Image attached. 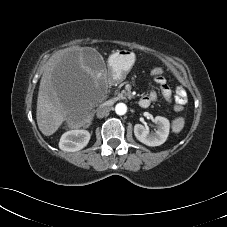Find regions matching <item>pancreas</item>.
<instances>
[{"mask_svg": "<svg viewBox=\"0 0 227 227\" xmlns=\"http://www.w3.org/2000/svg\"><path fill=\"white\" fill-rule=\"evenodd\" d=\"M127 96H128V94L125 91L117 92L116 96L113 98V100L114 101H117L120 99L125 100V99H127Z\"/></svg>", "mask_w": 227, "mask_h": 227, "instance_id": "1", "label": "pancreas"}]
</instances>
